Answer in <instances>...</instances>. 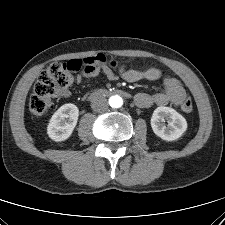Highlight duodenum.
I'll list each match as a JSON object with an SVG mask.
<instances>
[{
    "label": "duodenum",
    "instance_id": "duodenum-1",
    "mask_svg": "<svg viewBox=\"0 0 225 225\" xmlns=\"http://www.w3.org/2000/svg\"><path fill=\"white\" fill-rule=\"evenodd\" d=\"M120 94V95H127V93L123 90H106V89H100V90H97L95 91L93 94H92V97L93 98H100V97H104V96H107V95H112V94Z\"/></svg>",
    "mask_w": 225,
    "mask_h": 225
}]
</instances>
